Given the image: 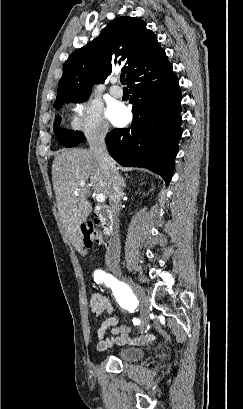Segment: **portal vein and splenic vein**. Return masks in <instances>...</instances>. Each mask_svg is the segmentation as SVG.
Returning a JSON list of instances; mask_svg holds the SVG:
<instances>
[{
    "instance_id": "18ae733b",
    "label": "portal vein and splenic vein",
    "mask_w": 243,
    "mask_h": 409,
    "mask_svg": "<svg viewBox=\"0 0 243 409\" xmlns=\"http://www.w3.org/2000/svg\"><path fill=\"white\" fill-rule=\"evenodd\" d=\"M74 194H75V195H78L79 193H78V191H75ZM105 199H106V197H105V195L102 194V193H99V194L96 195V200H97V202L102 203V202L105 201Z\"/></svg>"
}]
</instances>
